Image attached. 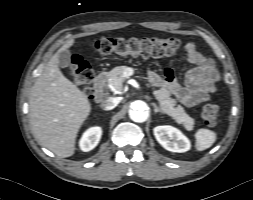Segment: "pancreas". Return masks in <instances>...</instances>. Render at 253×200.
<instances>
[{
    "label": "pancreas",
    "mask_w": 253,
    "mask_h": 200,
    "mask_svg": "<svg viewBox=\"0 0 253 200\" xmlns=\"http://www.w3.org/2000/svg\"><path fill=\"white\" fill-rule=\"evenodd\" d=\"M133 70L127 66H119L114 68L109 73L108 83L112 87L119 88L121 81L123 80V74ZM152 85L159 87L154 91V96L159 103L160 110L171 116L177 123L184 125L187 129H191L194 124V120L185 113L182 106H176V101L171 97V93L167 88V85L163 80L154 72H151L149 78Z\"/></svg>",
    "instance_id": "obj_1"
}]
</instances>
